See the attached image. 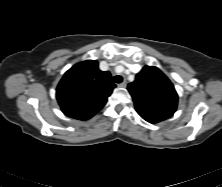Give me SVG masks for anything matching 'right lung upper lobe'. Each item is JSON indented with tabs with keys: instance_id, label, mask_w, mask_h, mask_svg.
Here are the masks:
<instances>
[{
	"instance_id": "1",
	"label": "right lung upper lobe",
	"mask_w": 222,
	"mask_h": 187,
	"mask_svg": "<svg viewBox=\"0 0 222 187\" xmlns=\"http://www.w3.org/2000/svg\"><path fill=\"white\" fill-rule=\"evenodd\" d=\"M115 87L108 71H101L97 61L87 60L64 74L56 98L66 116L87 120L100 111Z\"/></svg>"
}]
</instances>
